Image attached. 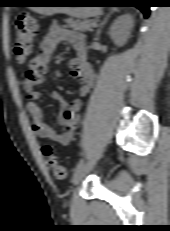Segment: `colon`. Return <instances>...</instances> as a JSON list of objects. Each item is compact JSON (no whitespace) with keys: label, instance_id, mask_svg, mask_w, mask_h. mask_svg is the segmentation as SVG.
<instances>
[{"label":"colon","instance_id":"1","mask_svg":"<svg viewBox=\"0 0 170 231\" xmlns=\"http://www.w3.org/2000/svg\"><path fill=\"white\" fill-rule=\"evenodd\" d=\"M15 32L14 54L16 60L22 63L35 48L37 35L35 19L28 12L20 13L15 21ZM42 154L47 158L52 174L58 179H65L67 177V170L58 163L54 156L53 148L50 145H44L42 147Z\"/></svg>","mask_w":170,"mask_h":231}]
</instances>
